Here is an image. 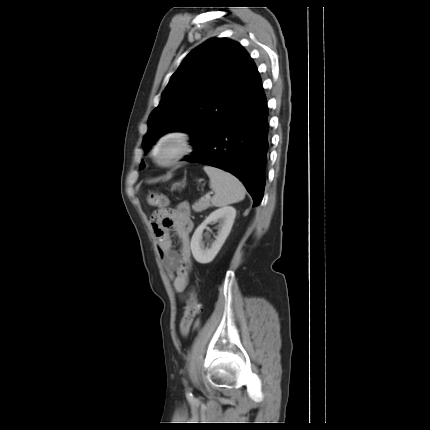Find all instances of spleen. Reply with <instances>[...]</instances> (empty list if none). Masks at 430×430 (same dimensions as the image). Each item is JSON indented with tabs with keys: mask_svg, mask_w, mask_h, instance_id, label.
Returning a JSON list of instances; mask_svg holds the SVG:
<instances>
[{
	"mask_svg": "<svg viewBox=\"0 0 430 430\" xmlns=\"http://www.w3.org/2000/svg\"><path fill=\"white\" fill-rule=\"evenodd\" d=\"M204 171L210 178V187L215 192L211 203L223 207L242 201L245 198V188L241 181L231 173L220 168L206 165Z\"/></svg>",
	"mask_w": 430,
	"mask_h": 430,
	"instance_id": "spleen-1",
	"label": "spleen"
}]
</instances>
